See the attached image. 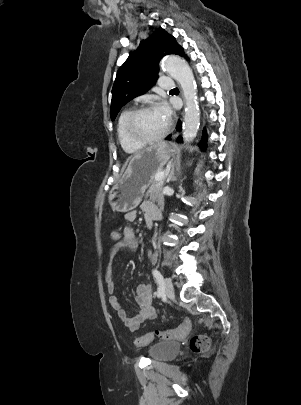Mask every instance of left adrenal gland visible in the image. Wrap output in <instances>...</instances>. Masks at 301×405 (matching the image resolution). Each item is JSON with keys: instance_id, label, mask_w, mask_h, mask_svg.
<instances>
[{"instance_id": "left-adrenal-gland-1", "label": "left adrenal gland", "mask_w": 301, "mask_h": 405, "mask_svg": "<svg viewBox=\"0 0 301 405\" xmlns=\"http://www.w3.org/2000/svg\"><path fill=\"white\" fill-rule=\"evenodd\" d=\"M173 180H175V177H174V166H172V170H171V172H170V174H169V176H168V181H173Z\"/></svg>"}]
</instances>
